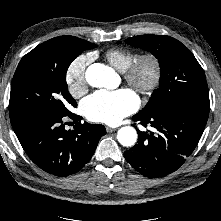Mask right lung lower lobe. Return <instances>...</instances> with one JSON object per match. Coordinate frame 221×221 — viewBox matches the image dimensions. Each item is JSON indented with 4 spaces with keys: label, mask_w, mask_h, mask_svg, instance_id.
Here are the masks:
<instances>
[{
    "label": "right lung lower lobe",
    "mask_w": 221,
    "mask_h": 221,
    "mask_svg": "<svg viewBox=\"0 0 221 221\" xmlns=\"http://www.w3.org/2000/svg\"><path fill=\"white\" fill-rule=\"evenodd\" d=\"M70 118L79 117L69 114ZM58 115L31 114L11 121L14 132L29 158L42 170L59 176L78 172L88 163L100 138L101 124H81L66 131Z\"/></svg>",
    "instance_id": "obj_1"
}]
</instances>
